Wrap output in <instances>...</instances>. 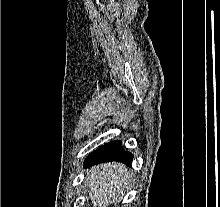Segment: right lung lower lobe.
Returning <instances> with one entry per match:
<instances>
[{
    "instance_id": "1",
    "label": "right lung lower lobe",
    "mask_w": 220,
    "mask_h": 207,
    "mask_svg": "<svg viewBox=\"0 0 220 207\" xmlns=\"http://www.w3.org/2000/svg\"><path fill=\"white\" fill-rule=\"evenodd\" d=\"M132 159V153L125 151L122 148L121 141L116 140L99 147L89 154L84 162V165L85 167H90L94 164L108 161H118L130 164Z\"/></svg>"
}]
</instances>
